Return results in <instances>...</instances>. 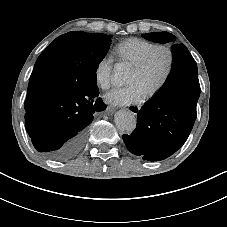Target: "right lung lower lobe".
<instances>
[{"label":"right lung lower lobe","mask_w":227,"mask_h":227,"mask_svg":"<svg viewBox=\"0 0 227 227\" xmlns=\"http://www.w3.org/2000/svg\"><path fill=\"white\" fill-rule=\"evenodd\" d=\"M98 95V88L80 94L53 91L26 111V130L36 150L56 161L74 157L85 143L93 114L106 108Z\"/></svg>","instance_id":"1"}]
</instances>
